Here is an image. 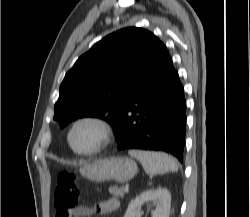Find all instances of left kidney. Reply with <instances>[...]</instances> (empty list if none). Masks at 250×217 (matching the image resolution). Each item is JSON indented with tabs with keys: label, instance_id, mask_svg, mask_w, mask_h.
I'll use <instances>...</instances> for the list:
<instances>
[{
	"label": "left kidney",
	"instance_id": "left-kidney-1",
	"mask_svg": "<svg viewBox=\"0 0 250 217\" xmlns=\"http://www.w3.org/2000/svg\"><path fill=\"white\" fill-rule=\"evenodd\" d=\"M145 203H153L155 210L152 217H169L171 207V195L166 188L158 187L142 192L128 205L124 217H140L141 207Z\"/></svg>",
	"mask_w": 250,
	"mask_h": 217
}]
</instances>
